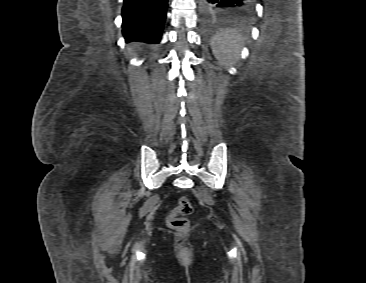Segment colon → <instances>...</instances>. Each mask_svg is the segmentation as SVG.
Returning a JSON list of instances; mask_svg holds the SVG:
<instances>
[{"instance_id": "1", "label": "colon", "mask_w": 366, "mask_h": 283, "mask_svg": "<svg viewBox=\"0 0 366 283\" xmlns=\"http://www.w3.org/2000/svg\"><path fill=\"white\" fill-rule=\"evenodd\" d=\"M193 211L191 202L186 196L179 197L177 206L171 211L168 216V224L171 228L178 231H186L189 228V221L186 216Z\"/></svg>"}]
</instances>
